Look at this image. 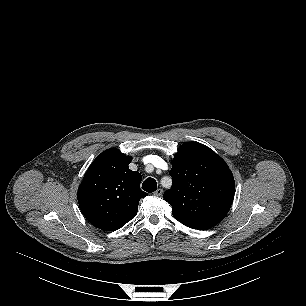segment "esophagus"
<instances>
[{"instance_id": "obj_1", "label": "esophagus", "mask_w": 306, "mask_h": 306, "mask_svg": "<svg viewBox=\"0 0 306 306\" xmlns=\"http://www.w3.org/2000/svg\"><path fill=\"white\" fill-rule=\"evenodd\" d=\"M162 193H163V189L159 188V189H157V190L154 192V195H155V196H161Z\"/></svg>"}]
</instances>
